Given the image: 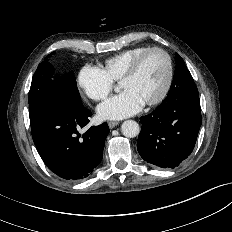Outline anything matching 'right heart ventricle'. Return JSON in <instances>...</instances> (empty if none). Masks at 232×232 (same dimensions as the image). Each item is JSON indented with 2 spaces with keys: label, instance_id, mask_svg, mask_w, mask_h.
I'll list each match as a JSON object with an SVG mask.
<instances>
[{
  "label": "right heart ventricle",
  "instance_id": "e07e8e85",
  "mask_svg": "<svg viewBox=\"0 0 232 232\" xmlns=\"http://www.w3.org/2000/svg\"><path fill=\"white\" fill-rule=\"evenodd\" d=\"M149 48L148 46L133 47L107 58L103 64L104 72L112 81H119L130 63Z\"/></svg>",
  "mask_w": 232,
  "mask_h": 232
}]
</instances>
